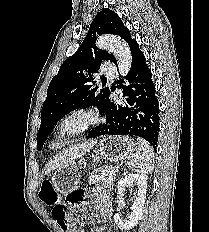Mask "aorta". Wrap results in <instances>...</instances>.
Wrapping results in <instances>:
<instances>
[{"label": "aorta", "instance_id": "1", "mask_svg": "<svg viewBox=\"0 0 209 232\" xmlns=\"http://www.w3.org/2000/svg\"><path fill=\"white\" fill-rule=\"evenodd\" d=\"M96 46L100 49L108 50L115 56L122 75H126L130 71L132 56L126 42L115 36L104 35L97 40Z\"/></svg>", "mask_w": 209, "mask_h": 232}]
</instances>
